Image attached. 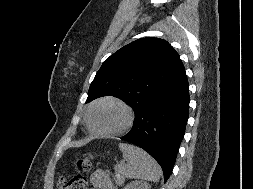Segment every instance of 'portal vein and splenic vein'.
<instances>
[{
  "mask_svg": "<svg viewBox=\"0 0 253 189\" xmlns=\"http://www.w3.org/2000/svg\"><path fill=\"white\" fill-rule=\"evenodd\" d=\"M124 164H125L124 161H122L120 165H118V169H121L124 166Z\"/></svg>",
  "mask_w": 253,
  "mask_h": 189,
  "instance_id": "portal-vein-and-splenic-vein-1",
  "label": "portal vein and splenic vein"
}]
</instances>
